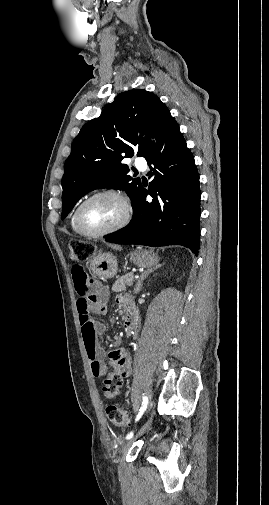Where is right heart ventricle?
Wrapping results in <instances>:
<instances>
[{
    "mask_svg": "<svg viewBox=\"0 0 269 505\" xmlns=\"http://www.w3.org/2000/svg\"><path fill=\"white\" fill-rule=\"evenodd\" d=\"M77 209V208H76ZM76 209H74V211L72 212L71 216H70V226H71V229L72 231L77 234V235H83L80 230L77 228L76 224H75V212H76Z\"/></svg>",
    "mask_w": 269,
    "mask_h": 505,
    "instance_id": "right-heart-ventricle-1",
    "label": "right heart ventricle"
}]
</instances>
